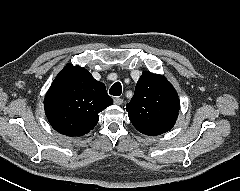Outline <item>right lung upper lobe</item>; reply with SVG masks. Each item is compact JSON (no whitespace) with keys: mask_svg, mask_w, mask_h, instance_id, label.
<instances>
[{"mask_svg":"<svg viewBox=\"0 0 240 191\" xmlns=\"http://www.w3.org/2000/svg\"><path fill=\"white\" fill-rule=\"evenodd\" d=\"M112 104L105 85L85 68L72 64L57 75L44 99L51 126L70 137L92 130L98 122V113Z\"/></svg>","mask_w":240,"mask_h":191,"instance_id":"obj_1","label":"right lung upper lobe"}]
</instances>
